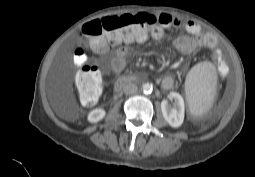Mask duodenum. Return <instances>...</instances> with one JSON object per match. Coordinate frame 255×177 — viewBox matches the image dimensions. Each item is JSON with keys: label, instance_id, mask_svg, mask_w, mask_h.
I'll use <instances>...</instances> for the list:
<instances>
[{"label": "duodenum", "instance_id": "1", "mask_svg": "<svg viewBox=\"0 0 255 177\" xmlns=\"http://www.w3.org/2000/svg\"><path fill=\"white\" fill-rule=\"evenodd\" d=\"M134 80H135V77H133V76H122V77H119L116 80L115 84H114V88H115L116 91H119V90H121V88L123 86H125L128 83L133 82Z\"/></svg>", "mask_w": 255, "mask_h": 177}]
</instances>
